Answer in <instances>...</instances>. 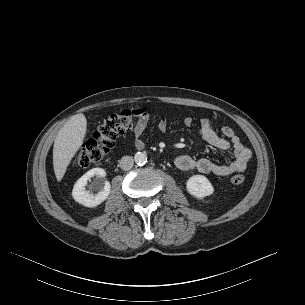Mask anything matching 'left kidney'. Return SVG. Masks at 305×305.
<instances>
[{
	"instance_id": "1",
	"label": "left kidney",
	"mask_w": 305,
	"mask_h": 305,
	"mask_svg": "<svg viewBox=\"0 0 305 305\" xmlns=\"http://www.w3.org/2000/svg\"><path fill=\"white\" fill-rule=\"evenodd\" d=\"M186 189L189 194L199 199L209 196L214 192L212 184L203 175L191 176L187 181Z\"/></svg>"
}]
</instances>
